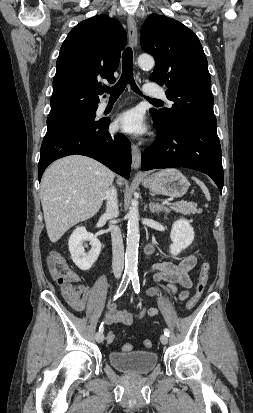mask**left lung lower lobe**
Returning a JSON list of instances; mask_svg holds the SVG:
<instances>
[{"instance_id":"left-lung-lower-lobe-1","label":"left lung lower lobe","mask_w":253,"mask_h":413,"mask_svg":"<svg viewBox=\"0 0 253 413\" xmlns=\"http://www.w3.org/2000/svg\"><path fill=\"white\" fill-rule=\"evenodd\" d=\"M153 121L157 138L142 153V170L172 167L195 169L209 175L222 193L224 173L216 128L185 123L170 133H164L154 116Z\"/></svg>"}]
</instances>
